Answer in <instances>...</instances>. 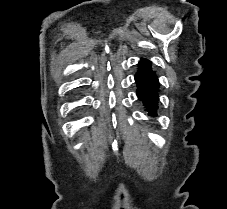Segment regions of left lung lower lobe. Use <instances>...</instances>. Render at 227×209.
I'll return each instance as SVG.
<instances>
[{"mask_svg": "<svg viewBox=\"0 0 227 209\" xmlns=\"http://www.w3.org/2000/svg\"><path fill=\"white\" fill-rule=\"evenodd\" d=\"M138 72L134 78L136 80L138 90L137 95L139 99L146 106L148 114L157 116L158 108V79L154 71L151 69V62L146 59H141Z\"/></svg>", "mask_w": 227, "mask_h": 209, "instance_id": "obj_1", "label": "left lung lower lobe"}]
</instances>
